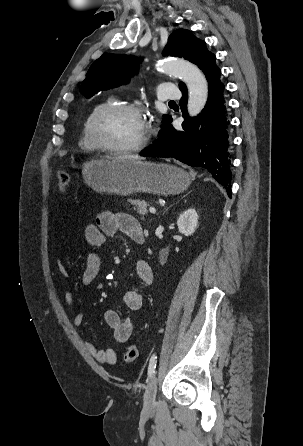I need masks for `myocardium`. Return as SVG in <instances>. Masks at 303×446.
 <instances>
[{
	"label": "myocardium",
	"mask_w": 303,
	"mask_h": 446,
	"mask_svg": "<svg viewBox=\"0 0 303 446\" xmlns=\"http://www.w3.org/2000/svg\"><path fill=\"white\" fill-rule=\"evenodd\" d=\"M117 111L131 112L139 115L140 117H143V110L134 104L120 103V102H109L104 104L95 111L89 122L88 132L92 143L100 150L119 154L137 152L143 149L149 141V133L147 130L145 131L144 135L139 141L129 146H123V147L113 146L105 143L100 138L98 127L101 119L106 114Z\"/></svg>",
	"instance_id": "f54148a6"
}]
</instances>
